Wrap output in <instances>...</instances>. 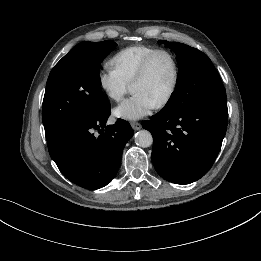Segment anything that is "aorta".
Here are the masks:
<instances>
[{
	"instance_id": "1",
	"label": "aorta",
	"mask_w": 261,
	"mask_h": 261,
	"mask_svg": "<svg viewBox=\"0 0 261 261\" xmlns=\"http://www.w3.org/2000/svg\"><path fill=\"white\" fill-rule=\"evenodd\" d=\"M135 143L142 147H150L153 143L152 134L148 130H140L135 134Z\"/></svg>"
}]
</instances>
